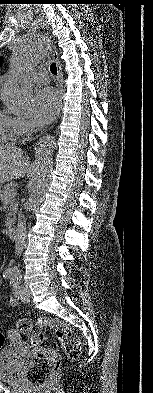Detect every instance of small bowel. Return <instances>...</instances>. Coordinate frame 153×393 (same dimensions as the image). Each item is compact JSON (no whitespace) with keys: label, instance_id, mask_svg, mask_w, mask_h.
<instances>
[{"label":"small bowel","instance_id":"c3829d8e","mask_svg":"<svg viewBox=\"0 0 153 393\" xmlns=\"http://www.w3.org/2000/svg\"><path fill=\"white\" fill-rule=\"evenodd\" d=\"M7 302L9 304V306H11V307H16L18 305V300L13 296H8ZM1 313H2V308L0 307V314Z\"/></svg>","mask_w":153,"mask_h":393}]
</instances>
